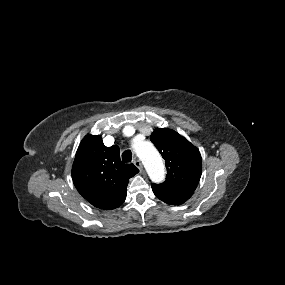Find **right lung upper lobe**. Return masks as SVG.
<instances>
[{"instance_id":"right-lung-upper-lobe-1","label":"right lung upper lobe","mask_w":285,"mask_h":285,"mask_svg":"<svg viewBox=\"0 0 285 285\" xmlns=\"http://www.w3.org/2000/svg\"><path fill=\"white\" fill-rule=\"evenodd\" d=\"M139 170L120 160L118 146L106 147L100 135L85 136L72 166L73 183L94 207L111 210L123 204L129 178Z\"/></svg>"}]
</instances>
